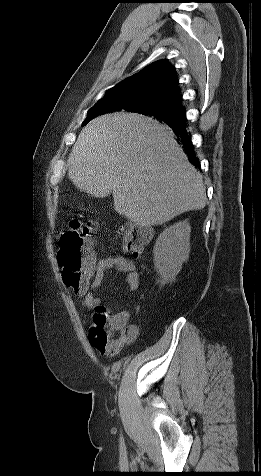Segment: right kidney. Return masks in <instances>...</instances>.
<instances>
[{
  "mask_svg": "<svg viewBox=\"0 0 261 476\" xmlns=\"http://www.w3.org/2000/svg\"><path fill=\"white\" fill-rule=\"evenodd\" d=\"M191 227L187 220L166 228L154 245V266L166 280L174 279L190 251Z\"/></svg>",
  "mask_w": 261,
  "mask_h": 476,
  "instance_id": "ca27d5eb",
  "label": "right kidney"
}]
</instances>
